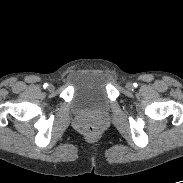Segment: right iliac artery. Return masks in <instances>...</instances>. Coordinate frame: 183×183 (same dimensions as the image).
Segmentation results:
<instances>
[{
    "label": "right iliac artery",
    "mask_w": 183,
    "mask_h": 183,
    "mask_svg": "<svg viewBox=\"0 0 183 183\" xmlns=\"http://www.w3.org/2000/svg\"><path fill=\"white\" fill-rule=\"evenodd\" d=\"M43 87H44V88H47V87H48V84H47V83H45V84L43 85Z\"/></svg>",
    "instance_id": "obj_1"
}]
</instances>
